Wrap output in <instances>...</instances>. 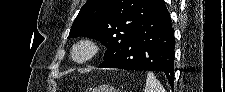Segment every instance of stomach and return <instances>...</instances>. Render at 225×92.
<instances>
[{
  "label": "stomach",
  "mask_w": 225,
  "mask_h": 92,
  "mask_svg": "<svg viewBox=\"0 0 225 92\" xmlns=\"http://www.w3.org/2000/svg\"><path fill=\"white\" fill-rule=\"evenodd\" d=\"M93 92H115V89L108 86L99 87L98 89H95Z\"/></svg>",
  "instance_id": "stomach-1"
}]
</instances>
